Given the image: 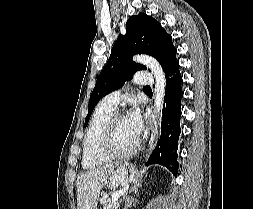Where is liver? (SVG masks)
<instances>
[{"mask_svg": "<svg viewBox=\"0 0 253 209\" xmlns=\"http://www.w3.org/2000/svg\"><path fill=\"white\" fill-rule=\"evenodd\" d=\"M126 176V170L124 167L118 168V164L101 166L80 174L76 181L77 209H97L101 189L107 180L116 187Z\"/></svg>", "mask_w": 253, "mask_h": 209, "instance_id": "1", "label": "liver"}]
</instances>
